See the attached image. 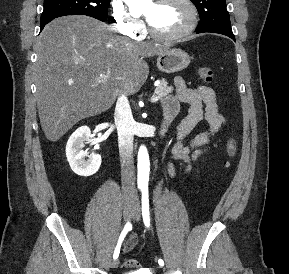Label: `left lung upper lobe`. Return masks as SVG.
Listing matches in <instances>:
<instances>
[{
	"label": "left lung upper lobe",
	"instance_id": "1",
	"mask_svg": "<svg viewBox=\"0 0 289 274\" xmlns=\"http://www.w3.org/2000/svg\"><path fill=\"white\" fill-rule=\"evenodd\" d=\"M200 15L197 33H233L225 0H191Z\"/></svg>",
	"mask_w": 289,
	"mask_h": 274
}]
</instances>
